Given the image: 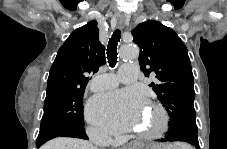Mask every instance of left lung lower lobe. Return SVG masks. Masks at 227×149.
<instances>
[{
    "mask_svg": "<svg viewBox=\"0 0 227 149\" xmlns=\"http://www.w3.org/2000/svg\"><path fill=\"white\" fill-rule=\"evenodd\" d=\"M170 128L161 142L183 141L194 145L199 149L196 124H169Z\"/></svg>",
    "mask_w": 227,
    "mask_h": 149,
    "instance_id": "left-lung-lower-lobe-1",
    "label": "left lung lower lobe"
}]
</instances>
